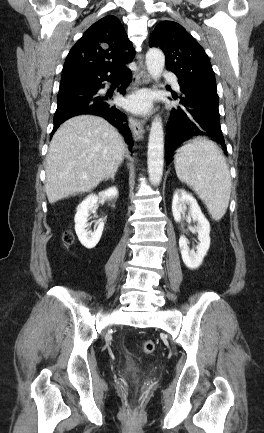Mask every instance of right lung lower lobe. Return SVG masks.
<instances>
[{"mask_svg":"<svg viewBox=\"0 0 264 433\" xmlns=\"http://www.w3.org/2000/svg\"><path fill=\"white\" fill-rule=\"evenodd\" d=\"M130 76V70L125 68L117 73L75 78L60 83L52 135L67 119L81 114H94L105 118L118 128L126 138V142L131 145L132 135L126 121V115L112 105L111 97L98 94V90L104 87L103 81L119 80L123 81L120 92L124 94V88L130 82Z\"/></svg>","mask_w":264,"mask_h":433,"instance_id":"obj_1","label":"right lung lower lobe"}]
</instances>
